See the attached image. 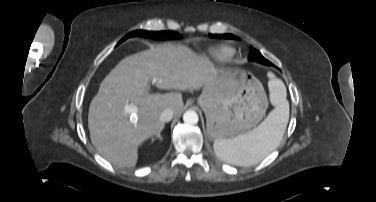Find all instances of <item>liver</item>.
I'll use <instances>...</instances> for the list:
<instances>
[{
  "mask_svg": "<svg viewBox=\"0 0 376 202\" xmlns=\"http://www.w3.org/2000/svg\"><path fill=\"white\" fill-rule=\"evenodd\" d=\"M216 74L208 58L182 45H159L124 58L104 78L90 103L92 144L114 165L134 167L139 145L164 128L161 113L171 109L179 115L184 106L181 93L152 94L150 83L159 89L193 91ZM129 105L135 110L127 111Z\"/></svg>",
  "mask_w": 376,
  "mask_h": 202,
  "instance_id": "liver-1",
  "label": "liver"
}]
</instances>
